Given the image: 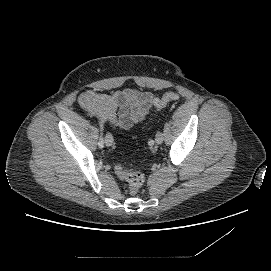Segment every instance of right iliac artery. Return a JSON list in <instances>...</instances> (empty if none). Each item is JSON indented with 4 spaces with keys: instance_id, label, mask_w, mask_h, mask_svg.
<instances>
[{
    "instance_id": "right-iliac-artery-1",
    "label": "right iliac artery",
    "mask_w": 271,
    "mask_h": 271,
    "mask_svg": "<svg viewBox=\"0 0 271 271\" xmlns=\"http://www.w3.org/2000/svg\"><path fill=\"white\" fill-rule=\"evenodd\" d=\"M100 139H99V142H98V145L100 148H103L104 147V138H103V132H104V127H103V124L100 122Z\"/></svg>"
}]
</instances>
